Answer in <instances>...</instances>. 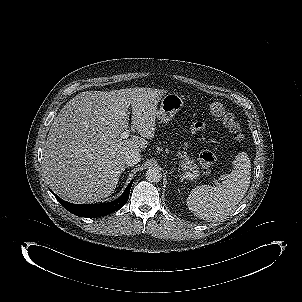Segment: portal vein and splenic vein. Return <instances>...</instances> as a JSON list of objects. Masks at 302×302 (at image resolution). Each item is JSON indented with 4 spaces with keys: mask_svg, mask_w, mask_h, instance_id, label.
Here are the masks:
<instances>
[{
    "mask_svg": "<svg viewBox=\"0 0 302 302\" xmlns=\"http://www.w3.org/2000/svg\"><path fill=\"white\" fill-rule=\"evenodd\" d=\"M130 132H131V130H126V131L122 132L121 135H120L121 139H126V138H128L129 135H130ZM186 176L189 177L190 179H197V175L192 174V173H190V172H187V173H186ZM214 182H215V184H217V185L220 184L217 180H215Z\"/></svg>",
    "mask_w": 302,
    "mask_h": 302,
    "instance_id": "1",
    "label": "portal vein and splenic vein"
}]
</instances>
